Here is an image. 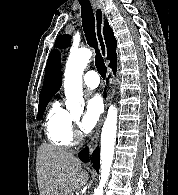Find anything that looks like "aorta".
Segmentation results:
<instances>
[{"instance_id":"762f6f07","label":"aorta","mask_w":178,"mask_h":195,"mask_svg":"<svg viewBox=\"0 0 178 195\" xmlns=\"http://www.w3.org/2000/svg\"><path fill=\"white\" fill-rule=\"evenodd\" d=\"M91 57L92 51L87 48L72 52L68 57L64 74V92L66 108L72 114L78 113L83 109L82 75ZM117 112L115 106H110L102 128L101 175L99 185L94 190V195H103V188L108 181L116 142Z\"/></svg>"}]
</instances>
